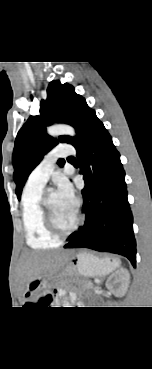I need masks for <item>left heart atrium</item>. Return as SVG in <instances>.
<instances>
[{
	"mask_svg": "<svg viewBox=\"0 0 152 369\" xmlns=\"http://www.w3.org/2000/svg\"><path fill=\"white\" fill-rule=\"evenodd\" d=\"M56 195L66 207L75 211L77 210L78 200L69 182L64 179H60L57 183Z\"/></svg>",
	"mask_w": 152,
	"mask_h": 369,
	"instance_id": "1",
	"label": "left heart atrium"
}]
</instances>
